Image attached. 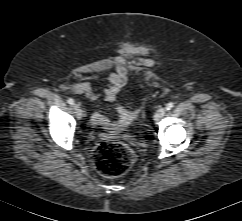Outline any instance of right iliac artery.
<instances>
[{
    "label": "right iliac artery",
    "mask_w": 242,
    "mask_h": 221,
    "mask_svg": "<svg viewBox=\"0 0 242 221\" xmlns=\"http://www.w3.org/2000/svg\"><path fill=\"white\" fill-rule=\"evenodd\" d=\"M67 103L70 104V105H73L74 104V100L72 98H69L67 100Z\"/></svg>",
    "instance_id": "obj_1"
}]
</instances>
